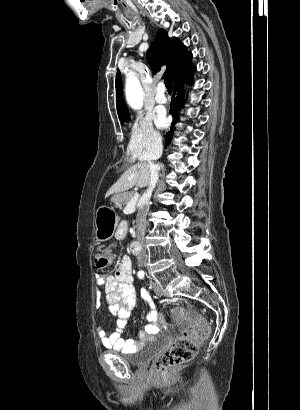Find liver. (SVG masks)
<instances>
[{
  "instance_id": "1",
  "label": "liver",
  "mask_w": 300,
  "mask_h": 410,
  "mask_svg": "<svg viewBox=\"0 0 300 410\" xmlns=\"http://www.w3.org/2000/svg\"><path fill=\"white\" fill-rule=\"evenodd\" d=\"M150 168L147 163H138L128 168L117 182L107 191L106 197L113 193L124 192L131 189L133 186L143 188L149 185Z\"/></svg>"
}]
</instances>
